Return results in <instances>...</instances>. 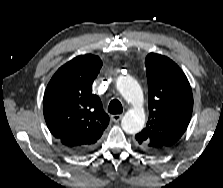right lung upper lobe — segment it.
I'll list each match as a JSON object with an SVG mask.
<instances>
[{"label": "right lung upper lobe", "instance_id": "obj_1", "mask_svg": "<svg viewBox=\"0 0 223 188\" xmlns=\"http://www.w3.org/2000/svg\"><path fill=\"white\" fill-rule=\"evenodd\" d=\"M101 66L98 56H77L60 67L47 85L45 121L67 148H93L109 123L100 98L91 92Z\"/></svg>", "mask_w": 223, "mask_h": 188}]
</instances>
